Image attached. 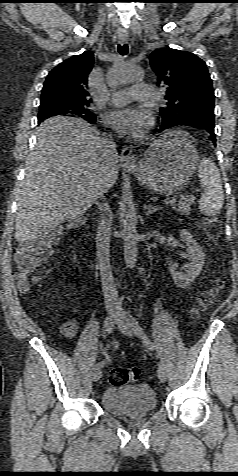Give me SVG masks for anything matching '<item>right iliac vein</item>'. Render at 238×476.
I'll list each match as a JSON object with an SVG mask.
<instances>
[{
  "instance_id": "obj_1",
  "label": "right iliac vein",
  "mask_w": 238,
  "mask_h": 476,
  "mask_svg": "<svg viewBox=\"0 0 238 476\" xmlns=\"http://www.w3.org/2000/svg\"><path fill=\"white\" fill-rule=\"evenodd\" d=\"M108 312H109V314H110V316L112 317L113 322H114V320H115L116 317H117V312H116V310H115L114 308H110ZM101 376H102L101 369L98 368V369H95V370H94V372H93V374H92V379H93L94 382H97V381L101 378Z\"/></svg>"
}]
</instances>
